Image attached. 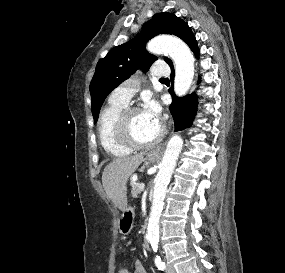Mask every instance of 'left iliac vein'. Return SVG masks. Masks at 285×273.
<instances>
[{
    "mask_svg": "<svg viewBox=\"0 0 285 273\" xmlns=\"http://www.w3.org/2000/svg\"><path fill=\"white\" fill-rule=\"evenodd\" d=\"M166 273H176V272L172 265H168L166 269Z\"/></svg>",
    "mask_w": 285,
    "mask_h": 273,
    "instance_id": "1",
    "label": "left iliac vein"
}]
</instances>
